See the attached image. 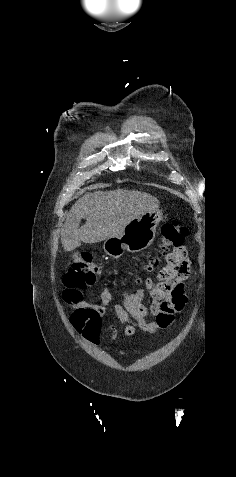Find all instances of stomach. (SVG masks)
<instances>
[{
	"instance_id": "obj_1",
	"label": "stomach",
	"mask_w": 236,
	"mask_h": 477,
	"mask_svg": "<svg viewBox=\"0 0 236 477\" xmlns=\"http://www.w3.org/2000/svg\"><path fill=\"white\" fill-rule=\"evenodd\" d=\"M161 220L162 212L158 209L133 219L122 234L104 241L105 253L119 258L125 252L136 253L147 249L155 239L156 227Z\"/></svg>"
}]
</instances>
